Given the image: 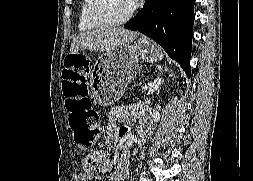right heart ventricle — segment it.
<instances>
[{
  "mask_svg": "<svg viewBox=\"0 0 253 181\" xmlns=\"http://www.w3.org/2000/svg\"><path fill=\"white\" fill-rule=\"evenodd\" d=\"M91 0H81L78 28L81 32H89L99 29L101 26L92 22L89 17Z\"/></svg>",
  "mask_w": 253,
  "mask_h": 181,
  "instance_id": "e07e8e85",
  "label": "right heart ventricle"
}]
</instances>
